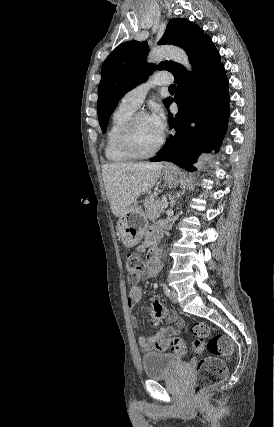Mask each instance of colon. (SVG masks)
I'll return each instance as SVG.
<instances>
[{"label": "colon", "mask_w": 274, "mask_h": 427, "mask_svg": "<svg viewBox=\"0 0 274 427\" xmlns=\"http://www.w3.org/2000/svg\"><path fill=\"white\" fill-rule=\"evenodd\" d=\"M126 266L129 280L137 281L143 273V261L140 254H128L126 256ZM190 331L196 337L195 349H199L204 344L209 353V357L199 360L195 386L191 387L192 395H206L207 388L223 382L227 375L226 360L233 355V345L231 341L222 334L210 335L209 326L205 322L193 323ZM159 351H174L185 356L186 345L177 339H160L156 343Z\"/></svg>", "instance_id": "colon-1"}]
</instances>
